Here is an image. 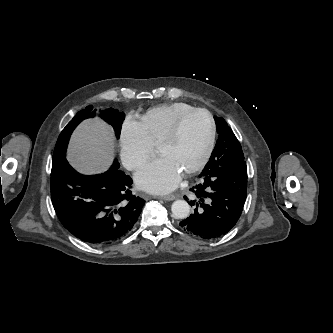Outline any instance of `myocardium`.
I'll return each mask as SVG.
<instances>
[{
	"mask_svg": "<svg viewBox=\"0 0 333 333\" xmlns=\"http://www.w3.org/2000/svg\"><path fill=\"white\" fill-rule=\"evenodd\" d=\"M196 113H204L208 117L210 125L209 138L204 153L202 154L200 160L193 167H191L190 169L186 170L183 173L185 176H191L202 170L205 167V165L208 163L213 153L216 141L217 129H216V122L212 113L205 108H193L187 112H184L174 121V123L171 125L169 130L166 132V134L163 136V138L158 144V148L160 149L163 146L175 141L179 135V132L185 120L191 115Z\"/></svg>",
	"mask_w": 333,
	"mask_h": 333,
	"instance_id": "f54148a6",
	"label": "myocardium"
}]
</instances>
